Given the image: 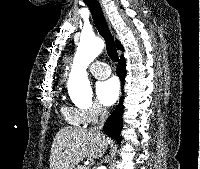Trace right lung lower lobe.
<instances>
[{
  "instance_id": "obj_1",
  "label": "right lung lower lobe",
  "mask_w": 200,
  "mask_h": 169,
  "mask_svg": "<svg viewBox=\"0 0 200 169\" xmlns=\"http://www.w3.org/2000/svg\"><path fill=\"white\" fill-rule=\"evenodd\" d=\"M116 73L123 84L126 74L125 59L123 58V56L120 58V62L117 67ZM122 114H123V98L120 100L116 109L112 112V114L108 117L106 123L104 124L105 133L108 136L115 139L117 142H120L121 140L120 131L123 127Z\"/></svg>"
}]
</instances>
